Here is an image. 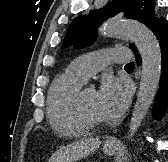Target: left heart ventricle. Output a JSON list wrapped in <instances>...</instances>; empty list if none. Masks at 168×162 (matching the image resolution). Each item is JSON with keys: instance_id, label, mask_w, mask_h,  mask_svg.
Here are the masks:
<instances>
[{"instance_id": "b2bd125f", "label": "left heart ventricle", "mask_w": 168, "mask_h": 162, "mask_svg": "<svg viewBox=\"0 0 168 162\" xmlns=\"http://www.w3.org/2000/svg\"><path fill=\"white\" fill-rule=\"evenodd\" d=\"M84 108L87 115L96 121H104L99 113L97 104V93L94 90L86 89L83 96Z\"/></svg>"}]
</instances>
